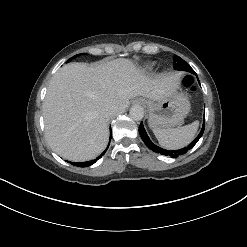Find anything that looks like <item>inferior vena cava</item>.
<instances>
[{"label":"inferior vena cava","mask_w":247,"mask_h":247,"mask_svg":"<svg viewBox=\"0 0 247 247\" xmlns=\"http://www.w3.org/2000/svg\"><path fill=\"white\" fill-rule=\"evenodd\" d=\"M103 114H104L105 117L109 118V117H111L112 115L115 114V110L112 109V108H107V109L104 110Z\"/></svg>","instance_id":"602c4592"}]
</instances>
